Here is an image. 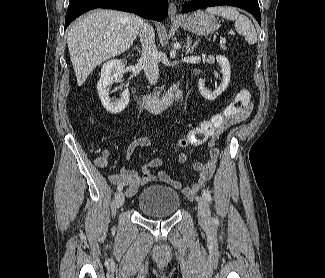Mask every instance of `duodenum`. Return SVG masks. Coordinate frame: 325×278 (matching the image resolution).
I'll return each mask as SVG.
<instances>
[{"label": "duodenum", "mask_w": 325, "mask_h": 278, "mask_svg": "<svg viewBox=\"0 0 325 278\" xmlns=\"http://www.w3.org/2000/svg\"><path fill=\"white\" fill-rule=\"evenodd\" d=\"M181 82L176 83L173 87L161 98H151L147 96L141 97V102L153 113H160L168 109L176 98V93Z\"/></svg>", "instance_id": "1"}]
</instances>
